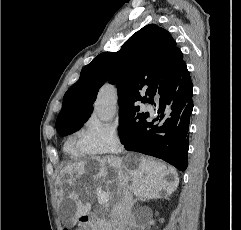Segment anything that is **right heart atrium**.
<instances>
[{"instance_id": "d8ad5b80", "label": "right heart atrium", "mask_w": 241, "mask_h": 230, "mask_svg": "<svg viewBox=\"0 0 241 230\" xmlns=\"http://www.w3.org/2000/svg\"><path fill=\"white\" fill-rule=\"evenodd\" d=\"M81 142L90 154H116L122 149L117 127L111 123H91L81 136Z\"/></svg>"}]
</instances>
